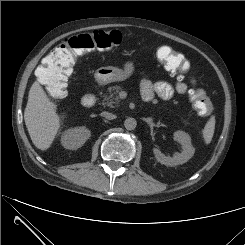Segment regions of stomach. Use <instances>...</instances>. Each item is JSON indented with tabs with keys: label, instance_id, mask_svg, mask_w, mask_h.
Segmentation results:
<instances>
[{
	"label": "stomach",
	"instance_id": "1",
	"mask_svg": "<svg viewBox=\"0 0 245 245\" xmlns=\"http://www.w3.org/2000/svg\"><path fill=\"white\" fill-rule=\"evenodd\" d=\"M134 71L132 62L125 64L124 69L113 66L100 67L95 72V79L100 84L123 81L130 77Z\"/></svg>",
	"mask_w": 245,
	"mask_h": 245
}]
</instances>
